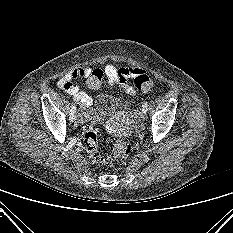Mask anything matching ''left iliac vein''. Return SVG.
Masks as SVG:
<instances>
[{
	"label": "left iliac vein",
	"mask_w": 233,
	"mask_h": 233,
	"mask_svg": "<svg viewBox=\"0 0 233 233\" xmlns=\"http://www.w3.org/2000/svg\"><path fill=\"white\" fill-rule=\"evenodd\" d=\"M140 118L141 120H145L146 119V112L142 109L141 112H140Z\"/></svg>",
	"instance_id": "left-iliac-vein-1"
}]
</instances>
